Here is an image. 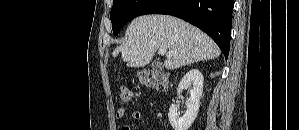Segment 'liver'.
I'll use <instances>...</instances> for the list:
<instances>
[{"instance_id": "6515ba94", "label": "liver", "mask_w": 299, "mask_h": 130, "mask_svg": "<svg viewBox=\"0 0 299 130\" xmlns=\"http://www.w3.org/2000/svg\"><path fill=\"white\" fill-rule=\"evenodd\" d=\"M166 49L173 55L165 60L167 69L173 70L194 62L220 56L215 42L197 27L169 15H144L128 26L125 41L112 53L121 57L127 66L147 65L157 50Z\"/></svg>"}]
</instances>
